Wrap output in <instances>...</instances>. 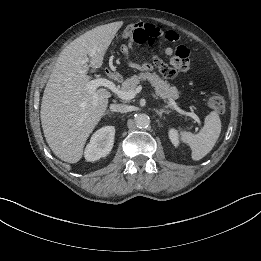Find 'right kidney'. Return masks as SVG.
<instances>
[{
  "label": "right kidney",
  "mask_w": 261,
  "mask_h": 261,
  "mask_svg": "<svg viewBox=\"0 0 261 261\" xmlns=\"http://www.w3.org/2000/svg\"><path fill=\"white\" fill-rule=\"evenodd\" d=\"M114 136V126H104L97 130L86 146L84 152L85 159L93 162L107 156L113 148Z\"/></svg>",
  "instance_id": "right-kidney-1"
}]
</instances>
